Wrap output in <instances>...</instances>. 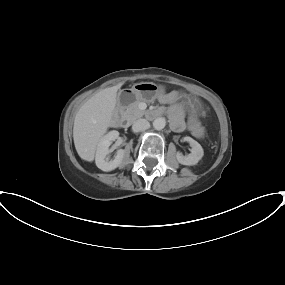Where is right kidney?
Segmentation results:
<instances>
[{
	"label": "right kidney",
	"mask_w": 285,
	"mask_h": 285,
	"mask_svg": "<svg viewBox=\"0 0 285 285\" xmlns=\"http://www.w3.org/2000/svg\"><path fill=\"white\" fill-rule=\"evenodd\" d=\"M118 137V131H110L102 138V140L97 145L95 163L96 166L102 171H112L123 163L125 155V151L123 149H119L117 151L116 156L113 160L108 161V158H106L107 154L109 153V146L111 145V142L116 140Z\"/></svg>",
	"instance_id": "obj_1"
}]
</instances>
